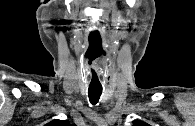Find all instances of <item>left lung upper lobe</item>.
<instances>
[{
    "label": "left lung upper lobe",
    "instance_id": "5c2ea615",
    "mask_svg": "<svg viewBox=\"0 0 195 126\" xmlns=\"http://www.w3.org/2000/svg\"><path fill=\"white\" fill-rule=\"evenodd\" d=\"M133 126H148V124L142 121L136 120V121H133Z\"/></svg>",
    "mask_w": 195,
    "mask_h": 126
}]
</instances>
